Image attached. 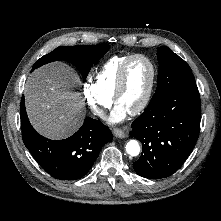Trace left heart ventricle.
I'll use <instances>...</instances> for the list:
<instances>
[{
	"mask_svg": "<svg viewBox=\"0 0 221 221\" xmlns=\"http://www.w3.org/2000/svg\"><path fill=\"white\" fill-rule=\"evenodd\" d=\"M151 78L149 64L141 59H135L129 66L125 88L120 95L117 105L128 112L133 111L144 98Z\"/></svg>",
	"mask_w": 221,
	"mask_h": 221,
	"instance_id": "obj_1",
	"label": "left heart ventricle"
}]
</instances>
